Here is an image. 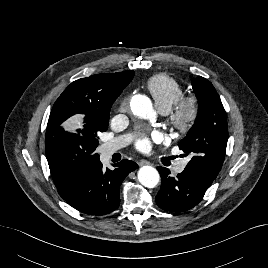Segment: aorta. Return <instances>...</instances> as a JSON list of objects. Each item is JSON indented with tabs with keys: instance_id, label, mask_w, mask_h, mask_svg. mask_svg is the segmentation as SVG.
Listing matches in <instances>:
<instances>
[{
	"instance_id": "aorta-1",
	"label": "aorta",
	"mask_w": 268,
	"mask_h": 268,
	"mask_svg": "<svg viewBox=\"0 0 268 268\" xmlns=\"http://www.w3.org/2000/svg\"><path fill=\"white\" fill-rule=\"evenodd\" d=\"M130 107L133 114L140 118L154 120L156 113L152 103L145 95H135L132 97ZM139 182L148 188H154L160 181L158 171L152 166H143L138 171Z\"/></svg>"
}]
</instances>
